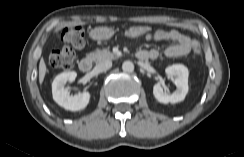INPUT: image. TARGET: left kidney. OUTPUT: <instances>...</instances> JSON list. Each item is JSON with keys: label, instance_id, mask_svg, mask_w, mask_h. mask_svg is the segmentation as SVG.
<instances>
[{"label": "left kidney", "instance_id": "left-kidney-1", "mask_svg": "<svg viewBox=\"0 0 244 157\" xmlns=\"http://www.w3.org/2000/svg\"><path fill=\"white\" fill-rule=\"evenodd\" d=\"M165 74L168 78H175L176 90L172 94L163 91L160 82H157L153 87V94L156 100L160 103H178L185 99L188 93V69L182 64H174L165 69Z\"/></svg>", "mask_w": 244, "mask_h": 157}]
</instances>
